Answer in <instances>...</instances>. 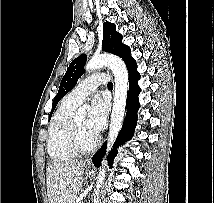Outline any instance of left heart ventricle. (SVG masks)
I'll list each match as a JSON object with an SVG mask.
<instances>
[{
    "mask_svg": "<svg viewBox=\"0 0 214 203\" xmlns=\"http://www.w3.org/2000/svg\"><path fill=\"white\" fill-rule=\"evenodd\" d=\"M75 124H76L77 128L79 129L83 144L86 146L90 145L94 140L95 134H93L92 132H90L87 129L86 118L82 117V118L76 120Z\"/></svg>",
    "mask_w": 214,
    "mask_h": 203,
    "instance_id": "left-heart-ventricle-1",
    "label": "left heart ventricle"
}]
</instances>
